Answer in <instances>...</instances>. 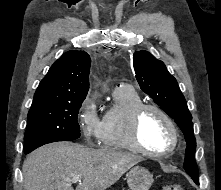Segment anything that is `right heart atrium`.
<instances>
[{"label": "right heart atrium", "instance_id": "obj_1", "mask_svg": "<svg viewBox=\"0 0 221 190\" xmlns=\"http://www.w3.org/2000/svg\"><path fill=\"white\" fill-rule=\"evenodd\" d=\"M78 124L87 141L100 138L101 120L94 99L87 97L78 111Z\"/></svg>", "mask_w": 221, "mask_h": 190}]
</instances>
